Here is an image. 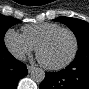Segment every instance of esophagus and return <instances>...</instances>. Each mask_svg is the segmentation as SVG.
I'll return each instance as SVG.
<instances>
[{"instance_id":"34e87169","label":"esophagus","mask_w":89,"mask_h":89,"mask_svg":"<svg viewBox=\"0 0 89 89\" xmlns=\"http://www.w3.org/2000/svg\"><path fill=\"white\" fill-rule=\"evenodd\" d=\"M27 69H28V71L30 73V72H32L35 69V67L28 65Z\"/></svg>"}]
</instances>
